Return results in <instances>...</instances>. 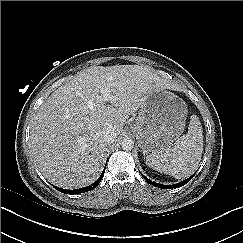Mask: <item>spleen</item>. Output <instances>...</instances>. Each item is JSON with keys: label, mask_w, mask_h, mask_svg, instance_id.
I'll return each instance as SVG.
<instances>
[{"label": "spleen", "mask_w": 243, "mask_h": 243, "mask_svg": "<svg viewBox=\"0 0 243 243\" xmlns=\"http://www.w3.org/2000/svg\"><path fill=\"white\" fill-rule=\"evenodd\" d=\"M203 151L202 127L196 115L191 116L187 134L169 147L146 157V165L174 176L186 178L197 170Z\"/></svg>", "instance_id": "3e777b00"}]
</instances>
